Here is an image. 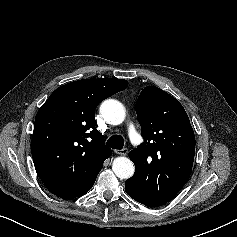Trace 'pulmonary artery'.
I'll return each mask as SVG.
<instances>
[{"mask_svg": "<svg viewBox=\"0 0 237 237\" xmlns=\"http://www.w3.org/2000/svg\"><path fill=\"white\" fill-rule=\"evenodd\" d=\"M128 135L133 143L137 144L139 142V136H138L134 126L130 125L128 127Z\"/></svg>", "mask_w": 237, "mask_h": 237, "instance_id": "obj_1", "label": "pulmonary artery"}]
</instances>
